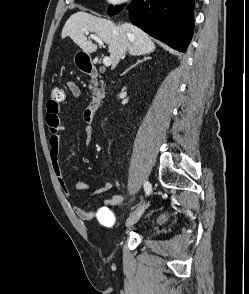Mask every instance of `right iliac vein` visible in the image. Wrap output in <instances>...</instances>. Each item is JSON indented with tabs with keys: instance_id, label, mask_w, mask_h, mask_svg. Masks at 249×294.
I'll list each match as a JSON object with an SVG mask.
<instances>
[{
	"instance_id": "1",
	"label": "right iliac vein",
	"mask_w": 249,
	"mask_h": 294,
	"mask_svg": "<svg viewBox=\"0 0 249 294\" xmlns=\"http://www.w3.org/2000/svg\"><path fill=\"white\" fill-rule=\"evenodd\" d=\"M144 209H145V203L141 204L135 212H133L129 217L128 219L126 220V227L127 228H130L132 227L135 223L138 222V220L141 218L143 212H144Z\"/></svg>"
}]
</instances>
